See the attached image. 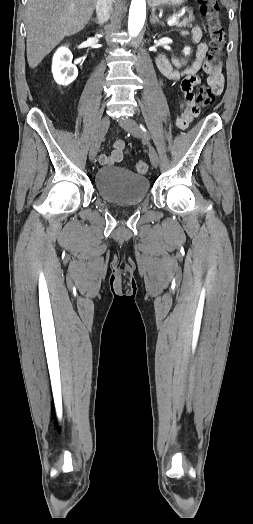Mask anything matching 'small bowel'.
Wrapping results in <instances>:
<instances>
[{
    "label": "small bowel",
    "instance_id": "1",
    "mask_svg": "<svg viewBox=\"0 0 253 524\" xmlns=\"http://www.w3.org/2000/svg\"><path fill=\"white\" fill-rule=\"evenodd\" d=\"M192 38L198 43V50L195 61L188 67H184L174 56L168 58L160 55L157 58V68L159 73L170 80L180 81L181 97L186 109L181 118L177 120V126L181 129L191 127L195 118H199L203 111L201 103L197 102V87L200 83L199 71L204 66L209 67L211 75L208 77V83L215 95H221L224 90V77L219 66L210 67L206 62L207 44L202 41V30L199 26L193 28ZM184 108V106H182ZM126 153L125 144L122 140H116L113 143V150L110 154H101L99 163L101 165H114L120 162Z\"/></svg>",
    "mask_w": 253,
    "mask_h": 524
}]
</instances>
